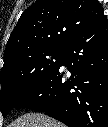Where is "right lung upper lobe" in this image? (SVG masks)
<instances>
[{"label": "right lung upper lobe", "instance_id": "cb5924a9", "mask_svg": "<svg viewBox=\"0 0 108 127\" xmlns=\"http://www.w3.org/2000/svg\"><path fill=\"white\" fill-rule=\"evenodd\" d=\"M104 19L97 0H38L23 12L11 33L4 62L28 53L65 50Z\"/></svg>", "mask_w": 108, "mask_h": 127}]
</instances>
